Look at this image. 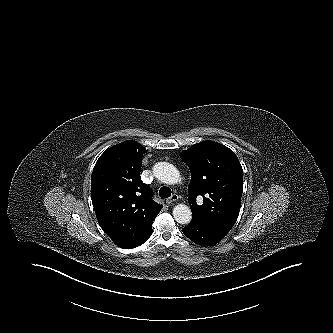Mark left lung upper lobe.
<instances>
[{
    "instance_id": "left-lung-upper-lobe-1",
    "label": "left lung upper lobe",
    "mask_w": 333,
    "mask_h": 333,
    "mask_svg": "<svg viewBox=\"0 0 333 333\" xmlns=\"http://www.w3.org/2000/svg\"><path fill=\"white\" fill-rule=\"evenodd\" d=\"M191 171L188 202L193 218L229 232L240 211L243 169L228 147L200 142L180 154ZM203 197V203L197 202Z\"/></svg>"
}]
</instances>
